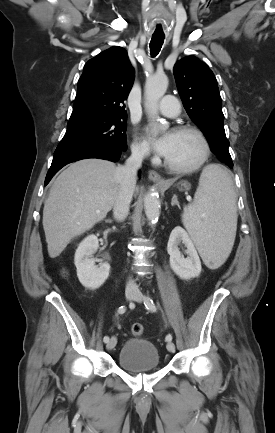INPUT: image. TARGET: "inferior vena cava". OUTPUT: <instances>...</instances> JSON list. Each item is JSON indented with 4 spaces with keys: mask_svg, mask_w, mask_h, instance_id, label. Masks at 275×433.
I'll return each mask as SVG.
<instances>
[{
    "mask_svg": "<svg viewBox=\"0 0 275 433\" xmlns=\"http://www.w3.org/2000/svg\"><path fill=\"white\" fill-rule=\"evenodd\" d=\"M145 151L132 149L131 156L126 160L125 165L117 168L120 178V189L113 206V215L117 221H123L129 213V206L135 190L137 172L141 168ZM138 286L134 281L129 280L126 284V291L136 292Z\"/></svg>",
    "mask_w": 275,
    "mask_h": 433,
    "instance_id": "obj_1",
    "label": "inferior vena cava"
}]
</instances>
